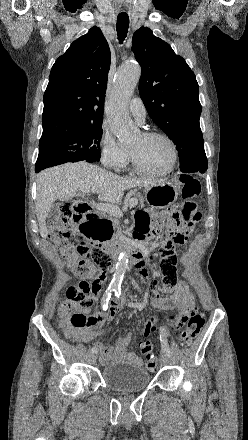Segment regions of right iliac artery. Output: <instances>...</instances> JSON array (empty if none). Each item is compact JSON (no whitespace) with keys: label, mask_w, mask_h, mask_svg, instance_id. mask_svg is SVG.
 Returning a JSON list of instances; mask_svg holds the SVG:
<instances>
[{"label":"right iliac artery","mask_w":248,"mask_h":440,"mask_svg":"<svg viewBox=\"0 0 248 440\" xmlns=\"http://www.w3.org/2000/svg\"><path fill=\"white\" fill-rule=\"evenodd\" d=\"M114 290H115V289H113V288H111V287H108L107 290L105 291L103 297H102L101 305H102V309H103L104 311H106L107 308H108V303H109V300H110V298H111V294H112V292H113ZM91 352H92V353H97V352H98V349H97L96 347H92V348H91Z\"/></svg>","instance_id":"82829eb1"}]
</instances>
